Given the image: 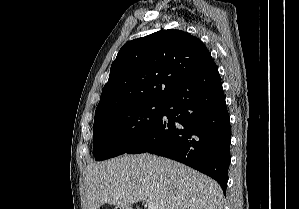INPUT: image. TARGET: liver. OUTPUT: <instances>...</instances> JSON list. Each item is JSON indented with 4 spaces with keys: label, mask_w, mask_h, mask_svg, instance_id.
<instances>
[{
    "label": "liver",
    "mask_w": 299,
    "mask_h": 209,
    "mask_svg": "<svg viewBox=\"0 0 299 209\" xmlns=\"http://www.w3.org/2000/svg\"><path fill=\"white\" fill-rule=\"evenodd\" d=\"M88 209L155 202L158 209H223L219 184L176 161L148 153L88 164Z\"/></svg>",
    "instance_id": "1"
}]
</instances>
